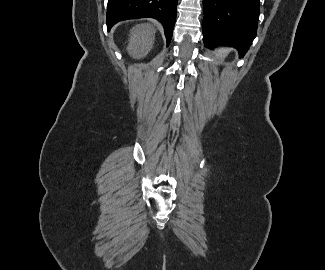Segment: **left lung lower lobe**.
<instances>
[{
    "label": "left lung lower lobe",
    "mask_w": 325,
    "mask_h": 270,
    "mask_svg": "<svg viewBox=\"0 0 325 270\" xmlns=\"http://www.w3.org/2000/svg\"><path fill=\"white\" fill-rule=\"evenodd\" d=\"M203 13L205 46L234 47L243 57L256 36L259 0H203Z\"/></svg>",
    "instance_id": "1"
}]
</instances>
